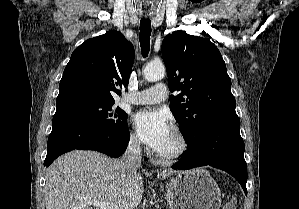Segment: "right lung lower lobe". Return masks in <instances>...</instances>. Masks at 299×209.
<instances>
[{
    "instance_id": "obj_1",
    "label": "right lung lower lobe",
    "mask_w": 299,
    "mask_h": 209,
    "mask_svg": "<svg viewBox=\"0 0 299 209\" xmlns=\"http://www.w3.org/2000/svg\"><path fill=\"white\" fill-rule=\"evenodd\" d=\"M52 125L44 166L75 149L95 150L116 158L125 152L130 138L127 125L109 129L67 115L53 117Z\"/></svg>"
}]
</instances>
